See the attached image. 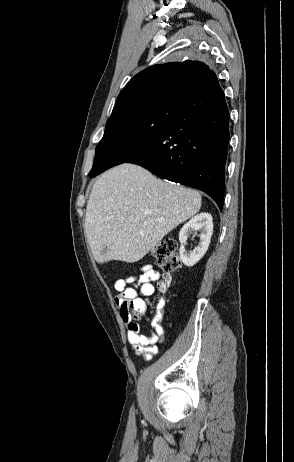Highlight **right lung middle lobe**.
I'll list each match as a JSON object with an SVG mask.
<instances>
[{
  "label": "right lung middle lobe",
  "instance_id": "right-lung-middle-lobe-1",
  "mask_svg": "<svg viewBox=\"0 0 294 462\" xmlns=\"http://www.w3.org/2000/svg\"><path fill=\"white\" fill-rule=\"evenodd\" d=\"M186 98L169 93L137 102L111 114L96 147L91 173L124 163L143 144L162 131L180 112Z\"/></svg>",
  "mask_w": 294,
  "mask_h": 462
}]
</instances>
